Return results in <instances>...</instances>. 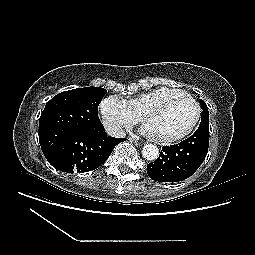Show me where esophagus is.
I'll list each match as a JSON object with an SVG mask.
<instances>
[{"label": "esophagus", "mask_w": 255, "mask_h": 255, "mask_svg": "<svg viewBox=\"0 0 255 255\" xmlns=\"http://www.w3.org/2000/svg\"><path fill=\"white\" fill-rule=\"evenodd\" d=\"M129 140H130V142L134 143L137 146H140V145L143 144L141 141H138V140H136L134 138H129Z\"/></svg>", "instance_id": "1"}]
</instances>
